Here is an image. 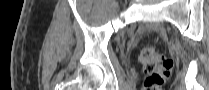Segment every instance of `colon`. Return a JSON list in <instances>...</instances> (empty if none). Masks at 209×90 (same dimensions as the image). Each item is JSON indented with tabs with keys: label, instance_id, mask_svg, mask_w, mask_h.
Wrapping results in <instances>:
<instances>
[{
	"label": "colon",
	"instance_id": "5ec220e1",
	"mask_svg": "<svg viewBox=\"0 0 209 90\" xmlns=\"http://www.w3.org/2000/svg\"><path fill=\"white\" fill-rule=\"evenodd\" d=\"M139 60L147 77L146 87L158 89L170 76L172 61L168 57L160 54L154 47H145L139 54Z\"/></svg>",
	"mask_w": 209,
	"mask_h": 90
}]
</instances>
